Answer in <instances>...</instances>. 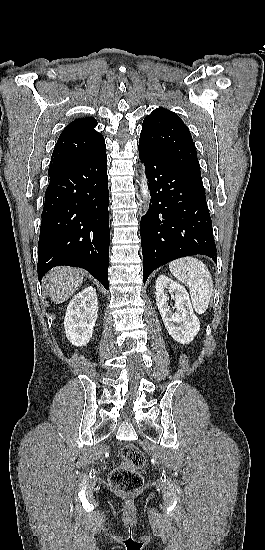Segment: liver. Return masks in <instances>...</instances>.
I'll use <instances>...</instances> for the list:
<instances>
[{
    "instance_id": "6515ba94",
    "label": "liver",
    "mask_w": 265,
    "mask_h": 550,
    "mask_svg": "<svg viewBox=\"0 0 265 550\" xmlns=\"http://www.w3.org/2000/svg\"><path fill=\"white\" fill-rule=\"evenodd\" d=\"M51 300L60 304L69 299L83 281V272L72 267L53 268L44 278Z\"/></svg>"
}]
</instances>
